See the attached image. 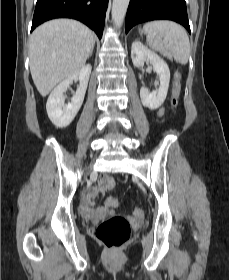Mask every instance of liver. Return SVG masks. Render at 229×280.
I'll list each match as a JSON object with an SVG mask.
<instances>
[{"mask_svg": "<svg viewBox=\"0 0 229 280\" xmlns=\"http://www.w3.org/2000/svg\"><path fill=\"white\" fill-rule=\"evenodd\" d=\"M95 44L92 31L71 19H55L36 28L29 39L30 71L45 97L57 84L78 72Z\"/></svg>", "mask_w": 229, "mask_h": 280, "instance_id": "6515ba94", "label": "liver"}]
</instances>
